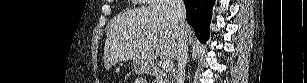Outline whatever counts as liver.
Listing matches in <instances>:
<instances>
[{"label": "liver", "mask_w": 307, "mask_h": 83, "mask_svg": "<svg viewBox=\"0 0 307 83\" xmlns=\"http://www.w3.org/2000/svg\"><path fill=\"white\" fill-rule=\"evenodd\" d=\"M188 41L192 29H186ZM179 30L169 6L132 10L115 18L106 35L104 65L110 68L123 60H133L147 70L154 59H174L179 47Z\"/></svg>", "instance_id": "1"}]
</instances>
